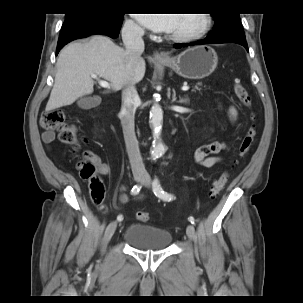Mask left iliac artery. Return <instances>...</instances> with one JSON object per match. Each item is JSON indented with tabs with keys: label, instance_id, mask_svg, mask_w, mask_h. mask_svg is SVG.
Here are the masks:
<instances>
[{
	"label": "left iliac artery",
	"instance_id": "44dca946",
	"mask_svg": "<svg viewBox=\"0 0 303 303\" xmlns=\"http://www.w3.org/2000/svg\"><path fill=\"white\" fill-rule=\"evenodd\" d=\"M153 192L156 196H158L159 198L163 199V200H172L173 196L164 192V190L162 189L159 179L157 177L154 178L153 180ZM188 220L194 224L195 219L193 217H189Z\"/></svg>",
	"mask_w": 303,
	"mask_h": 303
}]
</instances>
